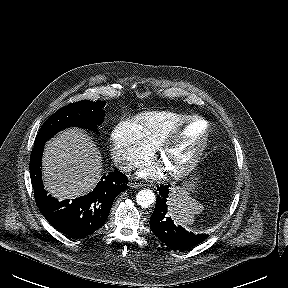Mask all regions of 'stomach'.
I'll list each match as a JSON object with an SVG mask.
<instances>
[{
  "label": "stomach",
  "instance_id": "stomach-1",
  "mask_svg": "<svg viewBox=\"0 0 288 288\" xmlns=\"http://www.w3.org/2000/svg\"><path fill=\"white\" fill-rule=\"evenodd\" d=\"M200 176L199 174H193L189 179L185 180L182 186L174 188L177 193H187L191 194L197 188V184L199 182Z\"/></svg>",
  "mask_w": 288,
  "mask_h": 288
}]
</instances>
